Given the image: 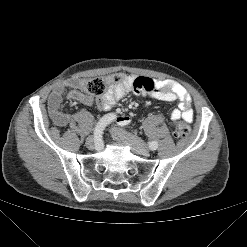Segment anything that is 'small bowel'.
<instances>
[{"mask_svg": "<svg viewBox=\"0 0 247 247\" xmlns=\"http://www.w3.org/2000/svg\"><path fill=\"white\" fill-rule=\"evenodd\" d=\"M139 80L142 85L136 86ZM83 80H70L54 87L48 98V112L53 124L67 125L70 114L60 110L62 96L66 88L80 90L78 100L88 106H95L99 110H110L119 100L128 93L150 96L164 101H178V107L170 113L171 120L176 122L183 119L187 123L193 121L192 100L190 94L181 85L169 80H154L148 77H128L124 84H112L107 91L97 99H94L83 89ZM131 121L130 117H119L117 123L126 125Z\"/></svg>", "mask_w": 247, "mask_h": 247, "instance_id": "small-bowel-1", "label": "small bowel"}]
</instances>
